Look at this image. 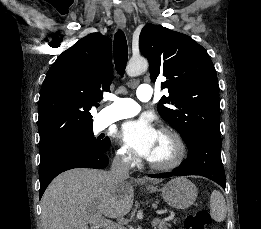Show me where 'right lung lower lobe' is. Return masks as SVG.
<instances>
[{"label": "right lung lower lobe", "mask_w": 261, "mask_h": 229, "mask_svg": "<svg viewBox=\"0 0 261 229\" xmlns=\"http://www.w3.org/2000/svg\"><path fill=\"white\" fill-rule=\"evenodd\" d=\"M109 164L108 153L75 154L52 157L41 161L39 166L40 191L42 197L49 183L60 173L73 168L103 169Z\"/></svg>", "instance_id": "1"}]
</instances>
